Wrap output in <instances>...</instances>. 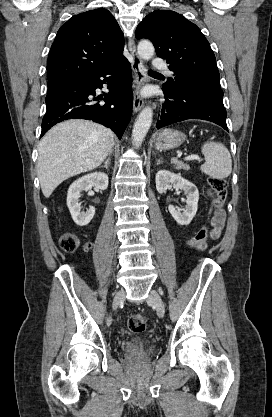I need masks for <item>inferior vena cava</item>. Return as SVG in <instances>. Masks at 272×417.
Wrapping results in <instances>:
<instances>
[{"label":"inferior vena cava","instance_id":"inferior-vena-cava-1","mask_svg":"<svg viewBox=\"0 0 272 417\" xmlns=\"http://www.w3.org/2000/svg\"><path fill=\"white\" fill-rule=\"evenodd\" d=\"M109 153H111V147H110V149H109Z\"/></svg>","mask_w":272,"mask_h":417}]
</instances>
